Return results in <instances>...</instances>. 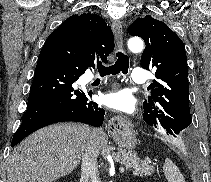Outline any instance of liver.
Segmentation results:
<instances>
[{"label": "liver", "mask_w": 211, "mask_h": 182, "mask_svg": "<svg viewBox=\"0 0 211 182\" xmlns=\"http://www.w3.org/2000/svg\"><path fill=\"white\" fill-rule=\"evenodd\" d=\"M91 135L99 154L108 143L102 129L68 123L36 131L9 156L7 182H52L68 175L79 165Z\"/></svg>", "instance_id": "liver-1"}]
</instances>
